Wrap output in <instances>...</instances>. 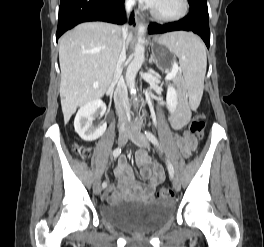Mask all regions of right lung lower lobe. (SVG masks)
<instances>
[{
	"instance_id": "obj_1",
	"label": "right lung lower lobe",
	"mask_w": 264,
	"mask_h": 247,
	"mask_svg": "<svg viewBox=\"0 0 264 247\" xmlns=\"http://www.w3.org/2000/svg\"><path fill=\"white\" fill-rule=\"evenodd\" d=\"M124 0H61L56 40L79 23L104 21L123 24L126 20ZM134 13L129 23H134Z\"/></svg>"
}]
</instances>
